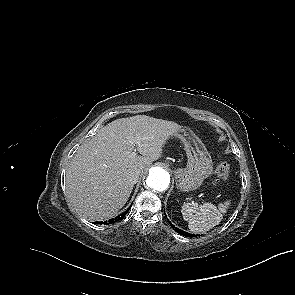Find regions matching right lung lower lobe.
Wrapping results in <instances>:
<instances>
[{
	"mask_svg": "<svg viewBox=\"0 0 295 295\" xmlns=\"http://www.w3.org/2000/svg\"><path fill=\"white\" fill-rule=\"evenodd\" d=\"M129 210H130V208H128L125 212H123L122 214L117 216L115 219L110 220V223H114L116 221H119V220L123 219ZM104 223L107 224V222H104ZM98 224H101V222H98ZM102 224H103V222H102Z\"/></svg>",
	"mask_w": 295,
	"mask_h": 295,
	"instance_id": "98d812e1",
	"label": "right lung lower lobe"
}]
</instances>
